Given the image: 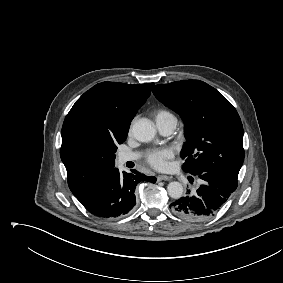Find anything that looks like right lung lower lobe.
Returning <instances> with one entry per match:
<instances>
[{
  "mask_svg": "<svg viewBox=\"0 0 283 283\" xmlns=\"http://www.w3.org/2000/svg\"><path fill=\"white\" fill-rule=\"evenodd\" d=\"M156 182L136 170L119 173L114 168L99 182L83 190L75 197L93 215L101 218H117L126 215L135 205V188L138 183Z\"/></svg>",
  "mask_w": 283,
  "mask_h": 283,
  "instance_id": "obj_1",
  "label": "right lung lower lobe"
}]
</instances>
